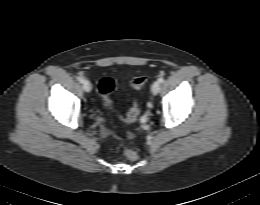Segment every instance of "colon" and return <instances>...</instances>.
Returning <instances> with one entry per match:
<instances>
[{"label":"colon","instance_id":"obj_1","mask_svg":"<svg viewBox=\"0 0 260 205\" xmlns=\"http://www.w3.org/2000/svg\"><path fill=\"white\" fill-rule=\"evenodd\" d=\"M147 81H148L147 76L139 75V76L134 77L130 81V85H131L132 89L138 90V89H141L147 83ZM115 87H116L115 81L110 77L101 78L99 81V84H98L99 91L101 92V94L104 97V102H105L106 106L108 107V109H110V110L114 109L112 100L110 99V95L114 91ZM139 113H140V110H139L138 104L136 101H134L132 106L128 110L126 116L120 117V120L125 123H132L137 120ZM125 155L129 160H132V161L138 159V154L133 150H126Z\"/></svg>","mask_w":260,"mask_h":205}]
</instances>
